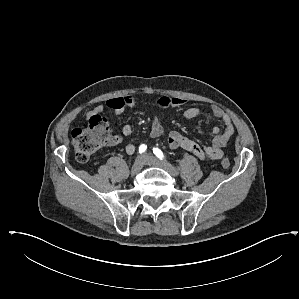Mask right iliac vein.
<instances>
[{
	"label": "right iliac vein",
	"instance_id": "63e3f726",
	"mask_svg": "<svg viewBox=\"0 0 299 299\" xmlns=\"http://www.w3.org/2000/svg\"><path fill=\"white\" fill-rule=\"evenodd\" d=\"M144 165H145L144 157L138 156L133 163V166L131 168V173L132 174L138 173L143 168Z\"/></svg>",
	"mask_w": 299,
	"mask_h": 299
}]
</instances>
